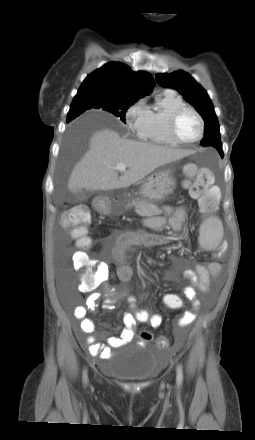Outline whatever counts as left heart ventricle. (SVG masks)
Masks as SVG:
<instances>
[{
	"label": "left heart ventricle",
	"mask_w": 255,
	"mask_h": 440,
	"mask_svg": "<svg viewBox=\"0 0 255 440\" xmlns=\"http://www.w3.org/2000/svg\"><path fill=\"white\" fill-rule=\"evenodd\" d=\"M199 121L192 112H184L177 123V133L182 140L191 141L199 134Z\"/></svg>",
	"instance_id": "b2bd125f"
}]
</instances>
